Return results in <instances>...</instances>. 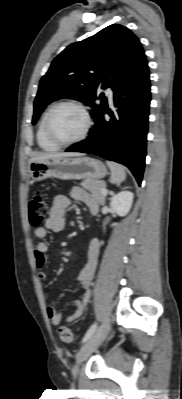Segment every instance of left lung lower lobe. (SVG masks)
I'll return each instance as SVG.
<instances>
[{
    "mask_svg": "<svg viewBox=\"0 0 182 399\" xmlns=\"http://www.w3.org/2000/svg\"><path fill=\"white\" fill-rule=\"evenodd\" d=\"M151 101L147 61L114 91L115 112L107 107L94 117L87 139L67 152L95 154L127 166L140 185L146 157L149 106ZM109 114L106 120L104 114Z\"/></svg>",
    "mask_w": 182,
    "mask_h": 399,
    "instance_id": "1",
    "label": "left lung lower lobe"
}]
</instances>
